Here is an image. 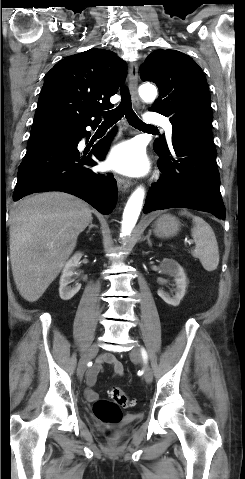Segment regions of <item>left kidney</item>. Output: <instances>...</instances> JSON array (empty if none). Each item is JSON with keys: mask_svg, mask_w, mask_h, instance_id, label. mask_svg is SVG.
I'll list each match as a JSON object with an SVG mask.
<instances>
[{"mask_svg": "<svg viewBox=\"0 0 245 479\" xmlns=\"http://www.w3.org/2000/svg\"><path fill=\"white\" fill-rule=\"evenodd\" d=\"M160 269L163 273L174 277L176 288L175 295L170 296L168 293L159 289L158 295L169 305L178 306L186 292V275L184 269L175 260L164 258L160 264Z\"/></svg>", "mask_w": 245, "mask_h": 479, "instance_id": "1", "label": "left kidney"}]
</instances>
